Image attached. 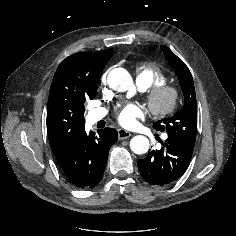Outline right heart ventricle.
<instances>
[{
    "instance_id": "obj_1",
    "label": "right heart ventricle",
    "mask_w": 236,
    "mask_h": 236,
    "mask_svg": "<svg viewBox=\"0 0 236 236\" xmlns=\"http://www.w3.org/2000/svg\"><path fill=\"white\" fill-rule=\"evenodd\" d=\"M165 81L166 76L156 63H145L136 69V82L143 90L164 83Z\"/></svg>"
}]
</instances>
